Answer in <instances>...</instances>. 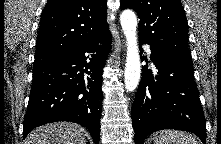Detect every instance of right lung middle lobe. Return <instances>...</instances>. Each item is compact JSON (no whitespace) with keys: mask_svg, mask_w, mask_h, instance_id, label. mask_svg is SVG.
I'll return each mask as SVG.
<instances>
[{"mask_svg":"<svg viewBox=\"0 0 221 144\" xmlns=\"http://www.w3.org/2000/svg\"><path fill=\"white\" fill-rule=\"evenodd\" d=\"M56 56L55 55H35V60H34V65L33 67L42 65L52 59H54Z\"/></svg>","mask_w":221,"mask_h":144,"instance_id":"right-lung-middle-lobe-1","label":"right lung middle lobe"}]
</instances>
